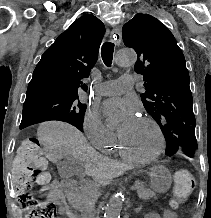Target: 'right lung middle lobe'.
<instances>
[{
	"mask_svg": "<svg viewBox=\"0 0 211 218\" xmlns=\"http://www.w3.org/2000/svg\"><path fill=\"white\" fill-rule=\"evenodd\" d=\"M86 105L78 96H56L25 102L20 128L46 120H61L83 130Z\"/></svg>",
	"mask_w": 211,
	"mask_h": 218,
	"instance_id": "dd1d6c3e",
	"label": "right lung middle lobe"
}]
</instances>
